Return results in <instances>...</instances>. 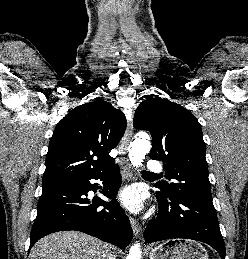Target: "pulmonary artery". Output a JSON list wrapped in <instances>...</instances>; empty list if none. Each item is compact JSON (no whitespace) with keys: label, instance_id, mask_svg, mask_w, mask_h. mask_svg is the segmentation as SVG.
Segmentation results:
<instances>
[{"label":"pulmonary artery","instance_id":"pulmonary-artery-1","mask_svg":"<svg viewBox=\"0 0 248 259\" xmlns=\"http://www.w3.org/2000/svg\"><path fill=\"white\" fill-rule=\"evenodd\" d=\"M147 171L154 174L159 173L162 171V165L158 161L150 160L147 163Z\"/></svg>","mask_w":248,"mask_h":259}]
</instances>
